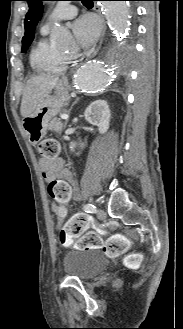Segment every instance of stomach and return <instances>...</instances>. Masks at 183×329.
Wrapping results in <instances>:
<instances>
[{"label":"stomach","instance_id":"0dacf381","mask_svg":"<svg viewBox=\"0 0 183 329\" xmlns=\"http://www.w3.org/2000/svg\"><path fill=\"white\" fill-rule=\"evenodd\" d=\"M68 85L58 82L53 96L46 97L36 109L23 119L22 125L28 141L36 145L41 141L48 129V123L69 103Z\"/></svg>","mask_w":183,"mask_h":329}]
</instances>
